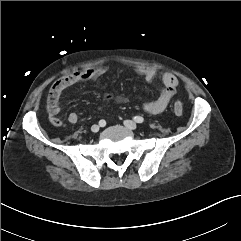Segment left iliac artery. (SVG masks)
Instances as JSON below:
<instances>
[{"label":"left iliac artery","instance_id":"left-iliac-artery-1","mask_svg":"<svg viewBox=\"0 0 241 241\" xmlns=\"http://www.w3.org/2000/svg\"><path fill=\"white\" fill-rule=\"evenodd\" d=\"M133 119L137 123H142L144 121V118L141 116H135Z\"/></svg>","mask_w":241,"mask_h":241}]
</instances>
